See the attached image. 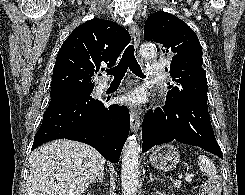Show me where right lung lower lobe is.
Wrapping results in <instances>:
<instances>
[{"label":"right lung lower lobe","instance_id":"right-lung-lower-lobe-1","mask_svg":"<svg viewBox=\"0 0 245 195\" xmlns=\"http://www.w3.org/2000/svg\"><path fill=\"white\" fill-rule=\"evenodd\" d=\"M92 90L51 100L32 150L45 142L66 138L86 143L109 161L118 162L129 133V111L116 104L106 107L90 95Z\"/></svg>","mask_w":245,"mask_h":195}]
</instances>
